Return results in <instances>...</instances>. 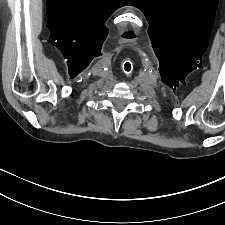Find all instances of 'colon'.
I'll list each match as a JSON object with an SVG mask.
<instances>
[{"mask_svg": "<svg viewBox=\"0 0 225 225\" xmlns=\"http://www.w3.org/2000/svg\"><path fill=\"white\" fill-rule=\"evenodd\" d=\"M124 69L126 73H130L132 70L131 63L128 60L124 63Z\"/></svg>", "mask_w": 225, "mask_h": 225, "instance_id": "colon-1", "label": "colon"}]
</instances>
